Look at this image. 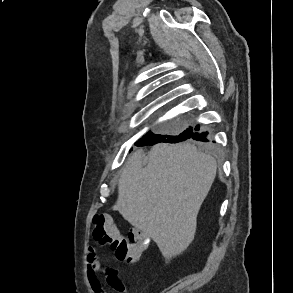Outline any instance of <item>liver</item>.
Masks as SVG:
<instances>
[{"instance_id":"liver-1","label":"liver","mask_w":293,"mask_h":293,"mask_svg":"<svg viewBox=\"0 0 293 293\" xmlns=\"http://www.w3.org/2000/svg\"><path fill=\"white\" fill-rule=\"evenodd\" d=\"M145 164V166H144ZM216 160L186 143L134 152L122 170L113 206L172 258L193 241L197 215L216 176Z\"/></svg>"}]
</instances>
